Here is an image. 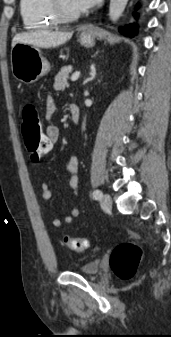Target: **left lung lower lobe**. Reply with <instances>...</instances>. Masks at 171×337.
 Here are the masks:
<instances>
[{"mask_svg":"<svg viewBox=\"0 0 171 337\" xmlns=\"http://www.w3.org/2000/svg\"><path fill=\"white\" fill-rule=\"evenodd\" d=\"M119 30H120L121 33H123L126 36H128V35L132 36L131 34L136 31V26L135 25H129V26H125V27H120Z\"/></svg>","mask_w":171,"mask_h":337,"instance_id":"obj_1","label":"left lung lower lobe"}]
</instances>
